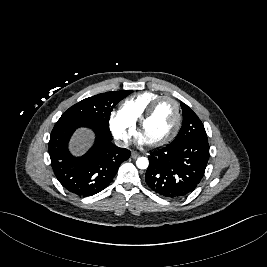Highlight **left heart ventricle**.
Returning a JSON list of instances; mask_svg holds the SVG:
<instances>
[{
    "label": "left heart ventricle",
    "instance_id": "b2bd125f",
    "mask_svg": "<svg viewBox=\"0 0 267 267\" xmlns=\"http://www.w3.org/2000/svg\"><path fill=\"white\" fill-rule=\"evenodd\" d=\"M175 122V106L170 101H164L144 125L140 136L148 143L159 141L172 131Z\"/></svg>",
    "mask_w": 267,
    "mask_h": 267
}]
</instances>
